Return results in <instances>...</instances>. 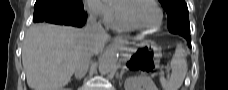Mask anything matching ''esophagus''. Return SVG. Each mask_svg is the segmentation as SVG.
I'll return each mask as SVG.
<instances>
[{"label": "esophagus", "mask_w": 228, "mask_h": 90, "mask_svg": "<svg viewBox=\"0 0 228 90\" xmlns=\"http://www.w3.org/2000/svg\"><path fill=\"white\" fill-rule=\"evenodd\" d=\"M115 41L118 42V43H120V42H123L124 39L121 36H116L115 37Z\"/></svg>", "instance_id": "1"}]
</instances>
